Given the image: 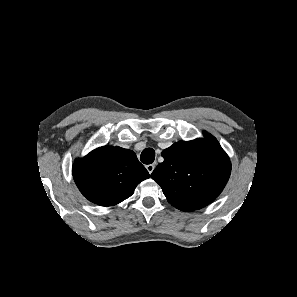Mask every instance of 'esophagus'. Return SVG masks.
Segmentation results:
<instances>
[{"label":"esophagus","instance_id":"obj_1","mask_svg":"<svg viewBox=\"0 0 297 297\" xmlns=\"http://www.w3.org/2000/svg\"><path fill=\"white\" fill-rule=\"evenodd\" d=\"M154 168H155L154 164L146 165V169L149 172V174L153 172Z\"/></svg>","mask_w":297,"mask_h":297}]
</instances>
